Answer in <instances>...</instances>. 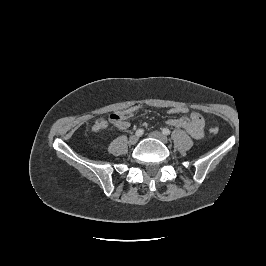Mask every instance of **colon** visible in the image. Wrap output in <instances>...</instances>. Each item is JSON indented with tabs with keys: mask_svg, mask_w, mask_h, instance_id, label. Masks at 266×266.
<instances>
[{
	"mask_svg": "<svg viewBox=\"0 0 266 266\" xmlns=\"http://www.w3.org/2000/svg\"><path fill=\"white\" fill-rule=\"evenodd\" d=\"M139 110L138 106H133L127 110L124 111H117V112H113L109 115V121L113 124H118L124 120H127L131 117H133V115ZM189 112V109L185 106H174V107H170L167 110L168 114L171 115H185ZM209 131L212 134H217L219 129L218 127H211L209 129Z\"/></svg>",
	"mask_w": 266,
	"mask_h": 266,
	"instance_id": "obj_1",
	"label": "colon"
}]
</instances>
